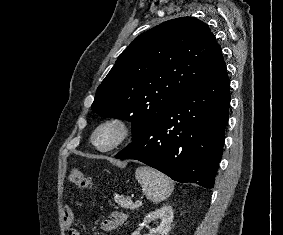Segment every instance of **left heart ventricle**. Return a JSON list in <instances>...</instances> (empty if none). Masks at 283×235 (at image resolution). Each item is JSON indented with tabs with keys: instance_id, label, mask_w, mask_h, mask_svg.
<instances>
[{
	"instance_id": "b2bd125f",
	"label": "left heart ventricle",
	"mask_w": 283,
	"mask_h": 235,
	"mask_svg": "<svg viewBox=\"0 0 283 235\" xmlns=\"http://www.w3.org/2000/svg\"><path fill=\"white\" fill-rule=\"evenodd\" d=\"M113 136H114L113 130H106L102 133L100 137V141L102 143H107L113 138Z\"/></svg>"
}]
</instances>
